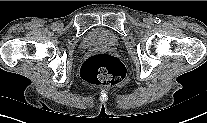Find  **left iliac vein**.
I'll return each mask as SVG.
<instances>
[{
  "label": "left iliac vein",
  "mask_w": 207,
  "mask_h": 123,
  "mask_svg": "<svg viewBox=\"0 0 207 123\" xmlns=\"http://www.w3.org/2000/svg\"><path fill=\"white\" fill-rule=\"evenodd\" d=\"M144 21L146 24H152V22H153L152 19H150V18H146Z\"/></svg>",
  "instance_id": "left-iliac-vein-1"
}]
</instances>
